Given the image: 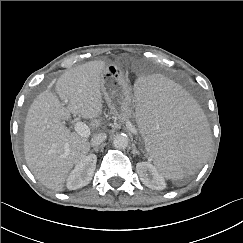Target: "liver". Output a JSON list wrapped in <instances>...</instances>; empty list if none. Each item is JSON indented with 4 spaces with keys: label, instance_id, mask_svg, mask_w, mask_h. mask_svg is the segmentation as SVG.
Segmentation results:
<instances>
[{
    "label": "liver",
    "instance_id": "1",
    "mask_svg": "<svg viewBox=\"0 0 243 243\" xmlns=\"http://www.w3.org/2000/svg\"><path fill=\"white\" fill-rule=\"evenodd\" d=\"M104 61H91L65 72L55 90L67 103L49 90L42 92L30 106L24 127V153L28 168L47 188L61 191L73 166L90 151L87 137L70 132L63 120L71 113L91 119L90 128L102 122V73ZM68 144V150L65 145Z\"/></svg>",
    "mask_w": 243,
    "mask_h": 243
}]
</instances>
